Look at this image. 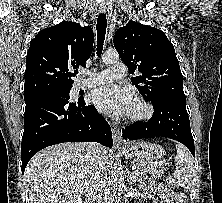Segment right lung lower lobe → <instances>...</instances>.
<instances>
[{"label": "right lung lower lobe", "mask_w": 222, "mask_h": 203, "mask_svg": "<svg viewBox=\"0 0 222 203\" xmlns=\"http://www.w3.org/2000/svg\"><path fill=\"white\" fill-rule=\"evenodd\" d=\"M96 141L113 145L111 128L93 105L84 98L70 102L60 95L34 98L26 102L21 143L22 172L35 153L62 142Z\"/></svg>", "instance_id": "right-lung-lower-lobe-1"}]
</instances>
